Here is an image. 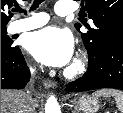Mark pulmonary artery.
Instances as JSON below:
<instances>
[{"mask_svg":"<svg viewBox=\"0 0 123 113\" xmlns=\"http://www.w3.org/2000/svg\"><path fill=\"white\" fill-rule=\"evenodd\" d=\"M55 12L60 16L71 14L74 11L73 2L58 1L55 4ZM49 20L48 14L44 12H29V17L14 21L10 31L12 33L24 32L45 25Z\"/></svg>","mask_w":123,"mask_h":113,"instance_id":"pulmonary-artery-1","label":"pulmonary artery"}]
</instances>
